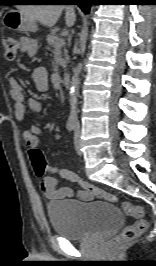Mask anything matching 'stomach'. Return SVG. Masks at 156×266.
Here are the masks:
<instances>
[{
	"instance_id": "stomach-1",
	"label": "stomach",
	"mask_w": 156,
	"mask_h": 266,
	"mask_svg": "<svg viewBox=\"0 0 156 266\" xmlns=\"http://www.w3.org/2000/svg\"><path fill=\"white\" fill-rule=\"evenodd\" d=\"M4 22L9 28L17 31L33 32L37 30L36 23L20 11L7 13Z\"/></svg>"
}]
</instances>
